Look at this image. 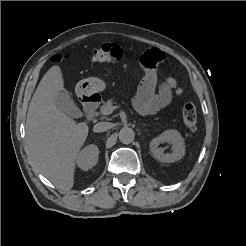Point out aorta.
I'll return each instance as SVG.
<instances>
[{
  "instance_id": "aorta-1",
  "label": "aorta",
  "mask_w": 246,
  "mask_h": 246,
  "mask_svg": "<svg viewBox=\"0 0 246 246\" xmlns=\"http://www.w3.org/2000/svg\"><path fill=\"white\" fill-rule=\"evenodd\" d=\"M134 136H135V133L133 129L129 127H123L119 131V140L125 144L131 143L134 140Z\"/></svg>"
}]
</instances>
